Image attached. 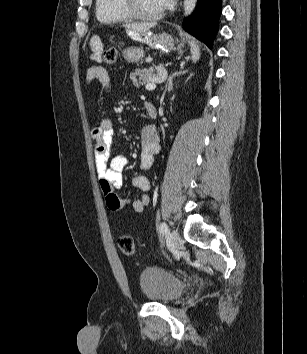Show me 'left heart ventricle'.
I'll return each instance as SVG.
<instances>
[{"instance_id": "obj_1", "label": "left heart ventricle", "mask_w": 307, "mask_h": 354, "mask_svg": "<svg viewBox=\"0 0 307 354\" xmlns=\"http://www.w3.org/2000/svg\"><path fill=\"white\" fill-rule=\"evenodd\" d=\"M135 2L139 11L145 14H155L162 10L158 0H135Z\"/></svg>"}]
</instances>
